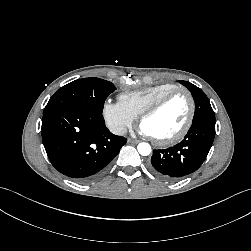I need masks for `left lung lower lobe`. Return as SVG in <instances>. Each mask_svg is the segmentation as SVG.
Here are the masks:
<instances>
[{
    "label": "left lung lower lobe",
    "instance_id": "0a47b994",
    "mask_svg": "<svg viewBox=\"0 0 251 251\" xmlns=\"http://www.w3.org/2000/svg\"><path fill=\"white\" fill-rule=\"evenodd\" d=\"M214 136L215 119L202 118L192 122L180 143L153 150L150 170L166 180H176L196 171L206 159Z\"/></svg>",
    "mask_w": 251,
    "mask_h": 251
}]
</instances>
